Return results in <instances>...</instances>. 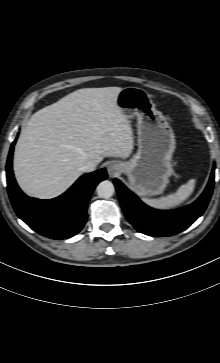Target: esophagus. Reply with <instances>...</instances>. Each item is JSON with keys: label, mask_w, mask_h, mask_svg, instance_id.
<instances>
[{"label": "esophagus", "mask_w": 220, "mask_h": 363, "mask_svg": "<svg viewBox=\"0 0 220 363\" xmlns=\"http://www.w3.org/2000/svg\"><path fill=\"white\" fill-rule=\"evenodd\" d=\"M107 171L110 177H114L119 173V167L116 164H109L107 166Z\"/></svg>", "instance_id": "34e87169"}]
</instances>
